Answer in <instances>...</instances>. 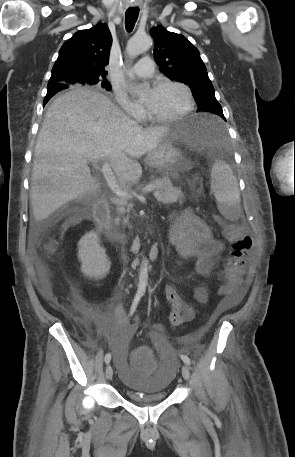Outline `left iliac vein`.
<instances>
[{"label":"left iliac vein","mask_w":295,"mask_h":457,"mask_svg":"<svg viewBox=\"0 0 295 457\" xmlns=\"http://www.w3.org/2000/svg\"><path fill=\"white\" fill-rule=\"evenodd\" d=\"M182 376H183V378H184L186 381H188L189 378H190L189 367H188V365H186V364H184V365L182 366Z\"/></svg>","instance_id":"1"}]
</instances>
